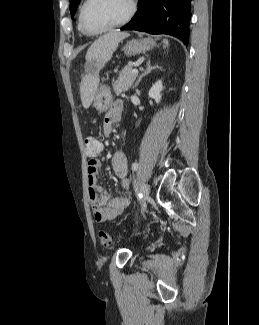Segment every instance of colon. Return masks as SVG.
<instances>
[{"label": "colon", "mask_w": 259, "mask_h": 325, "mask_svg": "<svg viewBox=\"0 0 259 325\" xmlns=\"http://www.w3.org/2000/svg\"><path fill=\"white\" fill-rule=\"evenodd\" d=\"M84 148L86 155H93L98 149H101V142H98V139L94 137H86L84 140ZM98 238L102 246L110 247L112 245V238L106 231H99Z\"/></svg>", "instance_id": "obj_1"}]
</instances>
